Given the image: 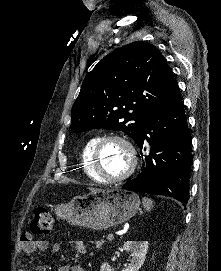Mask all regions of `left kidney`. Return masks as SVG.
Instances as JSON below:
<instances>
[{
	"mask_svg": "<svg viewBox=\"0 0 221 271\" xmlns=\"http://www.w3.org/2000/svg\"><path fill=\"white\" fill-rule=\"evenodd\" d=\"M148 241H124L123 249L131 255L130 263L123 271H138L142 267L148 251ZM100 271H114L108 261H104Z\"/></svg>",
	"mask_w": 221,
	"mask_h": 271,
	"instance_id": "obj_1",
	"label": "left kidney"
}]
</instances>
